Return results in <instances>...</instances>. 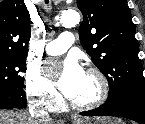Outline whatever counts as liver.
<instances>
[{
  "label": "liver",
  "instance_id": "obj_1",
  "mask_svg": "<svg viewBox=\"0 0 145 124\" xmlns=\"http://www.w3.org/2000/svg\"><path fill=\"white\" fill-rule=\"evenodd\" d=\"M32 119L29 115L14 112V111H0V124H62L53 123L50 120H41L38 123Z\"/></svg>",
  "mask_w": 145,
  "mask_h": 124
}]
</instances>
